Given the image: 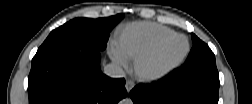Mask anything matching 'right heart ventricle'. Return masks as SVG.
Segmentation results:
<instances>
[{"mask_svg":"<svg viewBox=\"0 0 252 104\" xmlns=\"http://www.w3.org/2000/svg\"><path fill=\"white\" fill-rule=\"evenodd\" d=\"M174 34L172 30L151 22H135L118 36L116 47L127 60H135L159 40Z\"/></svg>","mask_w":252,"mask_h":104,"instance_id":"obj_1","label":"right heart ventricle"}]
</instances>
